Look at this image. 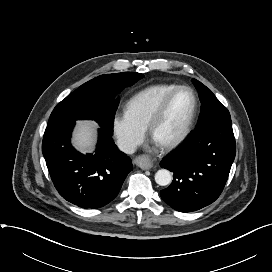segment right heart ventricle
<instances>
[{"label":"right heart ventricle","instance_id":"e07e8e85","mask_svg":"<svg viewBox=\"0 0 272 272\" xmlns=\"http://www.w3.org/2000/svg\"><path fill=\"white\" fill-rule=\"evenodd\" d=\"M176 87L178 85L161 83L142 89L126 103V113L135 123L147 129L148 123L161 101Z\"/></svg>","mask_w":272,"mask_h":272}]
</instances>
